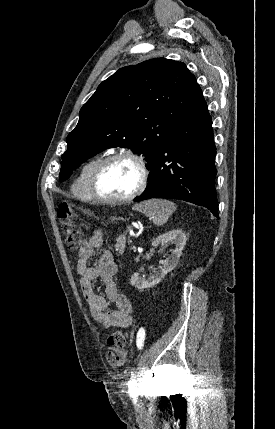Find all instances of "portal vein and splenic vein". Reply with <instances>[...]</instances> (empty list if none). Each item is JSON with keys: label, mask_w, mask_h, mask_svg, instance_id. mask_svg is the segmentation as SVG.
<instances>
[{"label": "portal vein and splenic vein", "mask_w": 275, "mask_h": 429, "mask_svg": "<svg viewBox=\"0 0 275 429\" xmlns=\"http://www.w3.org/2000/svg\"><path fill=\"white\" fill-rule=\"evenodd\" d=\"M130 235H134V232L130 229Z\"/></svg>", "instance_id": "18ae733b"}]
</instances>
